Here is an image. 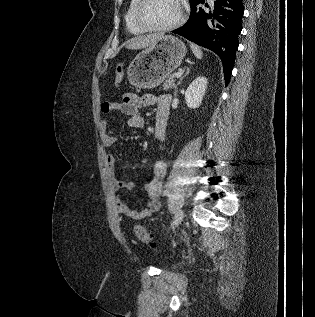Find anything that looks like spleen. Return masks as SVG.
<instances>
[{
    "mask_svg": "<svg viewBox=\"0 0 315 317\" xmlns=\"http://www.w3.org/2000/svg\"><path fill=\"white\" fill-rule=\"evenodd\" d=\"M190 47L196 58L201 59L203 57L202 50L199 46L195 45L194 43H190Z\"/></svg>",
    "mask_w": 315,
    "mask_h": 317,
    "instance_id": "1",
    "label": "spleen"
}]
</instances>
